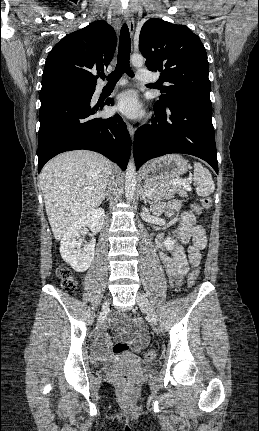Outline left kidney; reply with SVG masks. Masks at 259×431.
I'll use <instances>...</instances> for the list:
<instances>
[{
  "instance_id": "5707ae66",
  "label": "left kidney",
  "mask_w": 259,
  "mask_h": 431,
  "mask_svg": "<svg viewBox=\"0 0 259 431\" xmlns=\"http://www.w3.org/2000/svg\"><path fill=\"white\" fill-rule=\"evenodd\" d=\"M168 214V213H167ZM171 214L169 213V216ZM175 244V240H173L171 237H167L164 241V246L167 248V250H172Z\"/></svg>"
}]
</instances>
